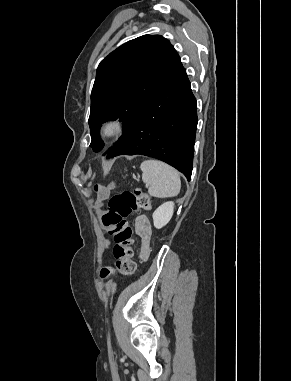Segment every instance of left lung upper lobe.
<instances>
[{
  "label": "left lung upper lobe",
  "mask_w": 291,
  "mask_h": 381,
  "mask_svg": "<svg viewBox=\"0 0 291 381\" xmlns=\"http://www.w3.org/2000/svg\"><path fill=\"white\" fill-rule=\"evenodd\" d=\"M182 68L180 57L170 42L160 35H143L121 45L98 66L91 93L90 144L102 150L101 124L118 119L124 135L148 101ZM113 148H110L108 154Z\"/></svg>",
  "instance_id": "1"
}]
</instances>
